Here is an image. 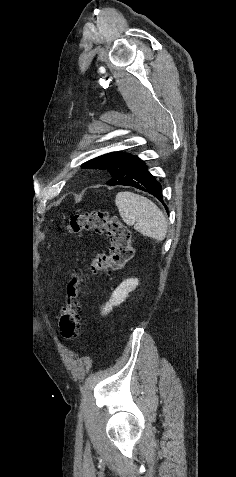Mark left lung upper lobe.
Masks as SVG:
<instances>
[{"instance_id":"1","label":"left lung upper lobe","mask_w":236,"mask_h":477,"mask_svg":"<svg viewBox=\"0 0 236 477\" xmlns=\"http://www.w3.org/2000/svg\"><path fill=\"white\" fill-rule=\"evenodd\" d=\"M138 159L137 156L126 154L122 151L111 152L87 161L82 167L101 170L107 169L112 178L107 181L106 184L114 186L128 178Z\"/></svg>"}]
</instances>
